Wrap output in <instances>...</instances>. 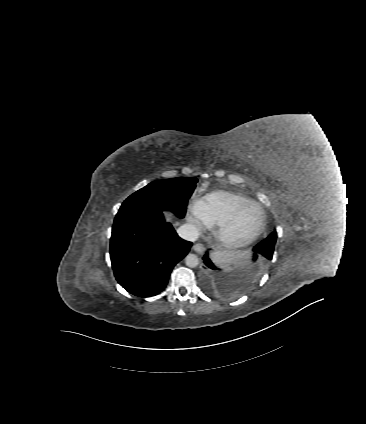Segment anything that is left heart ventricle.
I'll list each match as a JSON object with an SVG mask.
<instances>
[{"instance_id": "obj_1", "label": "left heart ventricle", "mask_w": 366, "mask_h": 424, "mask_svg": "<svg viewBox=\"0 0 366 424\" xmlns=\"http://www.w3.org/2000/svg\"><path fill=\"white\" fill-rule=\"evenodd\" d=\"M259 222V212L256 208L246 210L236 224L233 234L237 237L250 235L257 227Z\"/></svg>"}]
</instances>
